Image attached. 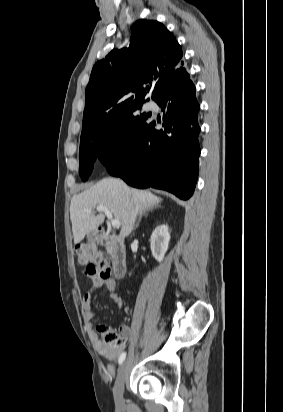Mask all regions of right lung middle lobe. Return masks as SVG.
Masks as SVG:
<instances>
[{
	"instance_id": "obj_1",
	"label": "right lung middle lobe",
	"mask_w": 283,
	"mask_h": 412,
	"mask_svg": "<svg viewBox=\"0 0 283 412\" xmlns=\"http://www.w3.org/2000/svg\"><path fill=\"white\" fill-rule=\"evenodd\" d=\"M141 107L135 108L116 127L80 140L79 174L83 181L91 174L96 158L108 165L127 154L136 137L148 123V114L136 113Z\"/></svg>"
}]
</instances>
